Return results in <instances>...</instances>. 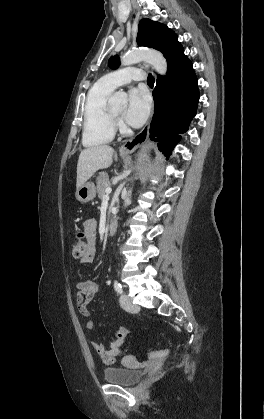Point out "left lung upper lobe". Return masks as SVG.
I'll return each mask as SVG.
<instances>
[{
  "instance_id": "1",
  "label": "left lung upper lobe",
  "mask_w": 264,
  "mask_h": 419,
  "mask_svg": "<svg viewBox=\"0 0 264 419\" xmlns=\"http://www.w3.org/2000/svg\"><path fill=\"white\" fill-rule=\"evenodd\" d=\"M177 35L167 26L154 22L150 19H142L138 26L137 44L139 46L151 47L162 53L171 49ZM108 65L112 69H117L119 57L112 56Z\"/></svg>"
}]
</instances>
